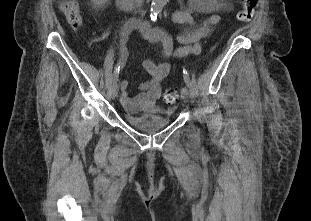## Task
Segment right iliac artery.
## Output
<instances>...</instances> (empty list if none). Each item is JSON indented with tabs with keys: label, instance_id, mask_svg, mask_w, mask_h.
<instances>
[{
	"label": "right iliac artery",
	"instance_id": "82829eb1",
	"mask_svg": "<svg viewBox=\"0 0 311 221\" xmlns=\"http://www.w3.org/2000/svg\"><path fill=\"white\" fill-rule=\"evenodd\" d=\"M120 68H121V64H120V62H118L117 65L115 66V70L113 72V81L114 82H116L118 80Z\"/></svg>",
	"mask_w": 311,
	"mask_h": 221
}]
</instances>
